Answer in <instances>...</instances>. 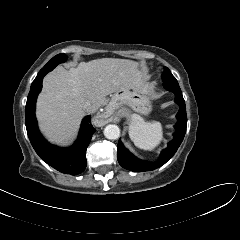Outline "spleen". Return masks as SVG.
I'll list each match as a JSON object with an SVG mask.
<instances>
[{"label": "spleen", "instance_id": "1", "mask_svg": "<svg viewBox=\"0 0 240 240\" xmlns=\"http://www.w3.org/2000/svg\"><path fill=\"white\" fill-rule=\"evenodd\" d=\"M129 136L138 148L153 150L163 139L162 126L159 122H148L139 115H133L129 125Z\"/></svg>", "mask_w": 240, "mask_h": 240}]
</instances>
